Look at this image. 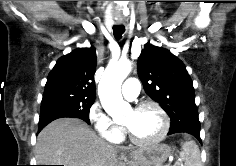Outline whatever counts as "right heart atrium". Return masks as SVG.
Instances as JSON below:
<instances>
[{
  "mask_svg": "<svg viewBox=\"0 0 236 166\" xmlns=\"http://www.w3.org/2000/svg\"><path fill=\"white\" fill-rule=\"evenodd\" d=\"M88 119L96 133L103 139L118 142L123 130L105 112L99 102H94L88 111Z\"/></svg>",
  "mask_w": 236,
  "mask_h": 166,
  "instance_id": "obj_1",
  "label": "right heart atrium"
}]
</instances>
